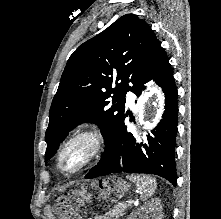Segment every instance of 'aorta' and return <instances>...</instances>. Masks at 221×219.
Listing matches in <instances>:
<instances>
[{
	"label": "aorta",
	"mask_w": 221,
	"mask_h": 219,
	"mask_svg": "<svg viewBox=\"0 0 221 219\" xmlns=\"http://www.w3.org/2000/svg\"><path fill=\"white\" fill-rule=\"evenodd\" d=\"M155 97L154 96H149V95H146L145 97H144V107L146 108V109H152V107H153V103H154V101H155Z\"/></svg>",
	"instance_id": "obj_1"
}]
</instances>
